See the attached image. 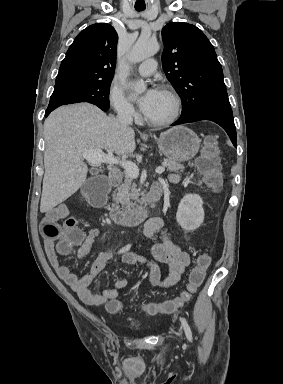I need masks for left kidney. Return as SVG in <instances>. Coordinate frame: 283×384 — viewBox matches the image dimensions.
<instances>
[{
	"mask_svg": "<svg viewBox=\"0 0 283 384\" xmlns=\"http://www.w3.org/2000/svg\"><path fill=\"white\" fill-rule=\"evenodd\" d=\"M202 204L203 200L198 194H186L182 198L178 206L176 220L186 232H194L203 224L204 210Z\"/></svg>",
	"mask_w": 283,
	"mask_h": 384,
	"instance_id": "obj_1",
	"label": "left kidney"
}]
</instances>
